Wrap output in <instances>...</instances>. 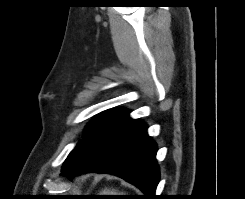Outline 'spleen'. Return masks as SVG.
Listing matches in <instances>:
<instances>
[{
  "label": "spleen",
  "mask_w": 245,
  "mask_h": 199,
  "mask_svg": "<svg viewBox=\"0 0 245 199\" xmlns=\"http://www.w3.org/2000/svg\"><path fill=\"white\" fill-rule=\"evenodd\" d=\"M101 195H118L116 191H109V190H104Z\"/></svg>",
  "instance_id": "1"
}]
</instances>
